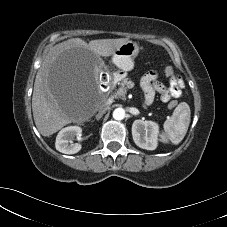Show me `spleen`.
I'll return each instance as SVG.
<instances>
[{
	"instance_id": "obj_1",
	"label": "spleen",
	"mask_w": 227,
	"mask_h": 227,
	"mask_svg": "<svg viewBox=\"0 0 227 227\" xmlns=\"http://www.w3.org/2000/svg\"><path fill=\"white\" fill-rule=\"evenodd\" d=\"M191 117V110L186 102H181L174 110L173 115L164 122V132L161 141L178 144L187 133Z\"/></svg>"
}]
</instances>
